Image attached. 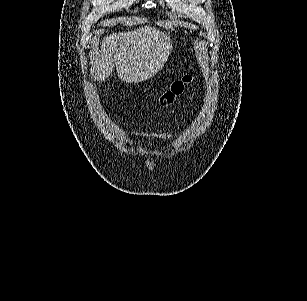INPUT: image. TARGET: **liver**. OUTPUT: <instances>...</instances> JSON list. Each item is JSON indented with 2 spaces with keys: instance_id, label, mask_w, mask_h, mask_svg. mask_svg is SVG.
<instances>
[{
  "instance_id": "6515ba94",
  "label": "liver",
  "mask_w": 307,
  "mask_h": 301,
  "mask_svg": "<svg viewBox=\"0 0 307 301\" xmlns=\"http://www.w3.org/2000/svg\"><path fill=\"white\" fill-rule=\"evenodd\" d=\"M168 34L154 26L106 34L100 50L91 56L90 72L94 80H105L113 72L124 82H143L163 68L171 50Z\"/></svg>"
}]
</instances>
